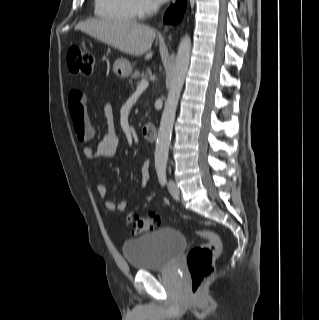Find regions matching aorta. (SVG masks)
<instances>
[{"label":"aorta","instance_id":"aorta-1","mask_svg":"<svg viewBox=\"0 0 319 320\" xmlns=\"http://www.w3.org/2000/svg\"><path fill=\"white\" fill-rule=\"evenodd\" d=\"M191 53V39L188 35L181 39L173 69V75L168 91L165 107L161 117L158 138L155 148V166L166 167L168 152L171 142L173 124L176 109L182 87L184 85L186 73L189 67Z\"/></svg>","mask_w":319,"mask_h":320}]
</instances>
